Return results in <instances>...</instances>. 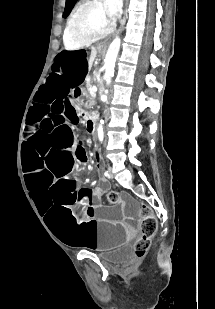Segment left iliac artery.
<instances>
[{
	"instance_id": "1",
	"label": "left iliac artery",
	"mask_w": 215,
	"mask_h": 309,
	"mask_svg": "<svg viewBox=\"0 0 215 309\" xmlns=\"http://www.w3.org/2000/svg\"><path fill=\"white\" fill-rule=\"evenodd\" d=\"M104 175H105L106 177H110L108 171H105Z\"/></svg>"
}]
</instances>
